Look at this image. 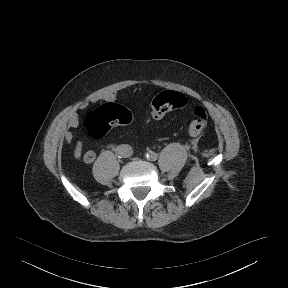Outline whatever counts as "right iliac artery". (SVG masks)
<instances>
[{
  "label": "right iliac artery",
  "instance_id": "1",
  "mask_svg": "<svg viewBox=\"0 0 288 288\" xmlns=\"http://www.w3.org/2000/svg\"><path fill=\"white\" fill-rule=\"evenodd\" d=\"M116 153L117 155L121 158V157H124L125 153H126V148L125 146H122V147H118L116 149Z\"/></svg>",
  "mask_w": 288,
  "mask_h": 288
}]
</instances>
